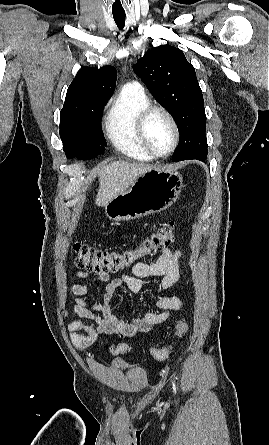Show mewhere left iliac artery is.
Here are the masks:
<instances>
[{"label":"left iliac artery","instance_id":"44dca946","mask_svg":"<svg viewBox=\"0 0 269 445\" xmlns=\"http://www.w3.org/2000/svg\"><path fill=\"white\" fill-rule=\"evenodd\" d=\"M173 390H174V392H176V387H175L174 383H173Z\"/></svg>","mask_w":269,"mask_h":445}]
</instances>
